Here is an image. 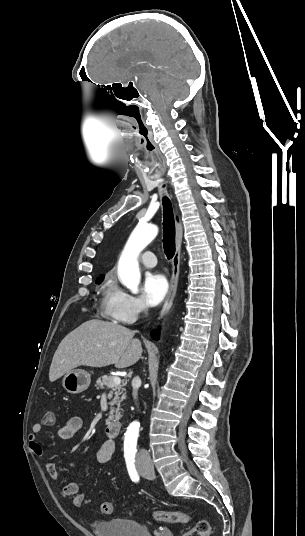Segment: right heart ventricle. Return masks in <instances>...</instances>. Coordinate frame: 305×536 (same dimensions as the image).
I'll use <instances>...</instances> for the list:
<instances>
[{
	"mask_svg": "<svg viewBox=\"0 0 305 536\" xmlns=\"http://www.w3.org/2000/svg\"><path fill=\"white\" fill-rule=\"evenodd\" d=\"M114 286L111 281L107 280L104 285L102 286L101 290V299L103 304L106 306L107 302L113 292Z\"/></svg>",
	"mask_w": 305,
	"mask_h": 536,
	"instance_id": "1",
	"label": "right heart ventricle"
}]
</instances>
